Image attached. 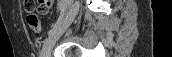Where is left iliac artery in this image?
I'll return each instance as SVG.
<instances>
[{"label": "left iliac artery", "instance_id": "1", "mask_svg": "<svg viewBox=\"0 0 172 57\" xmlns=\"http://www.w3.org/2000/svg\"><path fill=\"white\" fill-rule=\"evenodd\" d=\"M62 23V17L60 16L57 20V22L55 23V25L48 31V35H50L53 30L58 27L60 24Z\"/></svg>", "mask_w": 172, "mask_h": 57}]
</instances>
